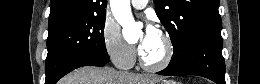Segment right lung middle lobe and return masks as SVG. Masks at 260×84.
Returning a JSON list of instances; mask_svg holds the SVG:
<instances>
[{
	"instance_id": "right-lung-middle-lobe-1",
	"label": "right lung middle lobe",
	"mask_w": 260,
	"mask_h": 84,
	"mask_svg": "<svg viewBox=\"0 0 260 84\" xmlns=\"http://www.w3.org/2000/svg\"><path fill=\"white\" fill-rule=\"evenodd\" d=\"M105 14L49 28L45 66L47 82L54 80L65 67L80 60L109 62L103 34Z\"/></svg>"
}]
</instances>
